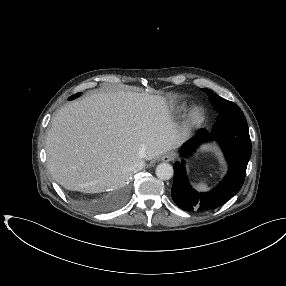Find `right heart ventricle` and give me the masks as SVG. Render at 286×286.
<instances>
[{
	"mask_svg": "<svg viewBox=\"0 0 286 286\" xmlns=\"http://www.w3.org/2000/svg\"><path fill=\"white\" fill-rule=\"evenodd\" d=\"M187 110L186 104H179L173 108L175 114H183Z\"/></svg>",
	"mask_w": 286,
	"mask_h": 286,
	"instance_id": "e07e8e85",
	"label": "right heart ventricle"
}]
</instances>
